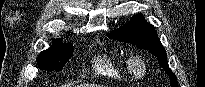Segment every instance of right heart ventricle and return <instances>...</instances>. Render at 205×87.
Here are the masks:
<instances>
[{
  "label": "right heart ventricle",
  "mask_w": 205,
  "mask_h": 87,
  "mask_svg": "<svg viewBox=\"0 0 205 87\" xmlns=\"http://www.w3.org/2000/svg\"><path fill=\"white\" fill-rule=\"evenodd\" d=\"M94 69L97 74L116 80H131L135 76L129 68L128 60L108 54L95 62Z\"/></svg>",
  "instance_id": "1"
}]
</instances>
